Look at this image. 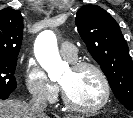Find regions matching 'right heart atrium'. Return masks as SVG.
<instances>
[{
    "instance_id": "1",
    "label": "right heart atrium",
    "mask_w": 133,
    "mask_h": 118,
    "mask_svg": "<svg viewBox=\"0 0 133 118\" xmlns=\"http://www.w3.org/2000/svg\"><path fill=\"white\" fill-rule=\"evenodd\" d=\"M25 81L28 91L35 98L51 102L59 93L57 84L50 80L46 72L35 61L28 62Z\"/></svg>"
}]
</instances>
